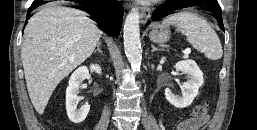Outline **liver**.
I'll use <instances>...</instances> for the list:
<instances>
[{
  "label": "liver",
  "mask_w": 257,
  "mask_h": 130,
  "mask_svg": "<svg viewBox=\"0 0 257 130\" xmlns=\"http://www.w3.org/2000/svg\"><path fill=\"white\" fill-rule=\"evenodd\" d=\"M101 34L85 12L55 3L29 19L21 60L29 97L39 114L60 81L91 56Z\"/></svg>",
  "instance_id": "6515ba94"
}]
</instances>
